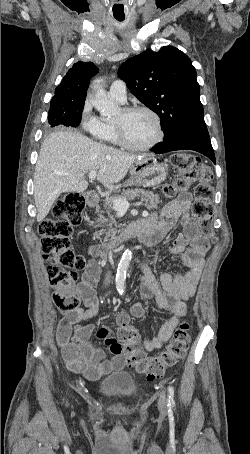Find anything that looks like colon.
<instances>
[{"label":"colon","mask_w":250,"mask_h":454,"mask_svg":"<svg viewBox=\"0 0 250 454\" xmlns=\"http://www.w3.org/2000/svg\"><path fill=\"white\" fill-rule=\"evenodd\" d=\"M172 163L178 175L165 185L163 192L167 197H174L188 190L196 182L192 214L199 229L206 236L214 239L211 207L208 203L213 193L211 182L212 170L200 159L189 153L172 156ZM85 198L80 193H69L58 200L52 217L39 226L42 236L41 250L46 261V273L53 289V301L56 307L65 313L78 310L80 298L75 283L78 271L84 269L85 260L71 246L73 228L81 223V213L85 208ZM118 328L113 334L107 328H100L96 335L104 340L114 355H125L128 363L148 380L157 379L165 374L181 359L190 341L188 323H181L164 350L153 357H146L139 347L138 335L131 325L130 317L123 314L118 318Z\"/></svg>","instance_id":"obj_1"}]
</instances>
